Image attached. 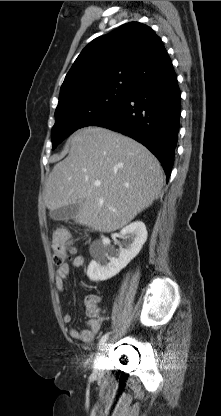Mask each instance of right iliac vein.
I'll list each match as a JSON object with an SVG mask.
<instances>
[{"label":"right iliac vein","instance_id":"obj_1","mask_svg":"<svg viewBox=\"0 0 221 416\" xmlns=\"http://www.w3.org/2000/svg\"><path fill=\"white\" fill-rule=\"evenodd\" d=\"M106 344L101 348V350H100V352L97 354V361H96V365H95V368H96V370L98 371V370H100V361H101V359H102V357H103V354H104V350H105V348H106Z\"/></svg>","mask_w":221,"mask_h":416}]
</instances>
